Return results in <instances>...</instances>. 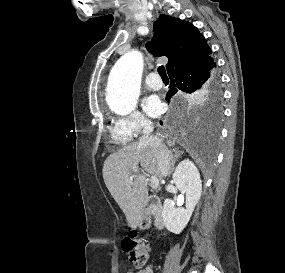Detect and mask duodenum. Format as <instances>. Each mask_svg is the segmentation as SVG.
Instances as JSON below:
<instances>
[{
    "mask_svg": "<svg viewBox=\"0 0 285 273\" xmlns=\"http://www.w3.org/2000/svg\"><path fill=\"white\" fill-rule=\"evenodd\" d=\"M150 219H153L157 229L160 230L164 227L161 202L158 197L153 195L148 196L144 202L140 224L144 226Z\"/></svg>",
    "mask_w": 285,
    "mask_h": 273,
    "instance_id": "410a0bca",
    "label": "duodenum"
}]
</instances>
